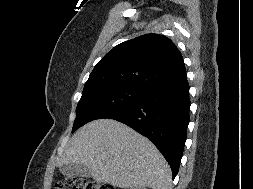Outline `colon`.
<instances>
[{
	"label": "colon",
	"instance_id": "1",
	"mask_svg": "<svg viewBox=\"0 0 253 189\" xmlns=\"http://www.w3.org/2000/svg\"><path fill=\"white\" fill-rule=\"evenodd\" d=\"M55 189H115L112 185L82 177H67L55 184Z\"/></svg>",
	"mask_w": 253,
	"mask_h": 189
}]
</instances>
